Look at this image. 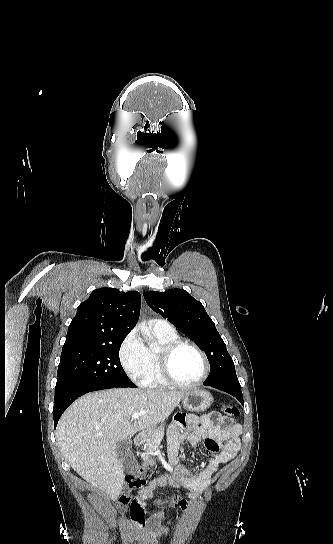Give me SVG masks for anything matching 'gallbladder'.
Instances as JSON below:
<instances>
[{
    "label": "gallbladder",
    "mask_w": 333,
    "mask_h": 544,
    "mask_svg": "<svg viewBox=\"0 0 333 544\" xmlns=\"http://www.w3.org/2000/svg\"><path fill=\"white\" fill-rule=\"evenodd\" d=\"M116 454L122 461L123 468L127 473L135 474L138 471V465L132 451H130V444L128 441L117 443Z\"/></svg>",
    "instance_id": "gallbladder-1"
}]
</instances>
